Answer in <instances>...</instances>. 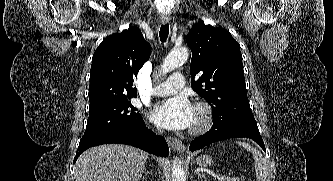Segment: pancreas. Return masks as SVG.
I'll list each match as a JSON object with an SVG mask.
<instances>
[{
    "label": "pancreas",
    "mask_w": 333,
    "mask_h": 181,
    "mask_svg": "<svg viewBox=\"0 0 333 181\" xmlns=\"http://www.w3.org/2000/svg\"><path fill=\"white\" fill-rule=\"evenodd\" d=\"M225 181H239V179L227 177V178H225Z\"/></svg>",
    "instance_id": "1"
}]
</instances>
